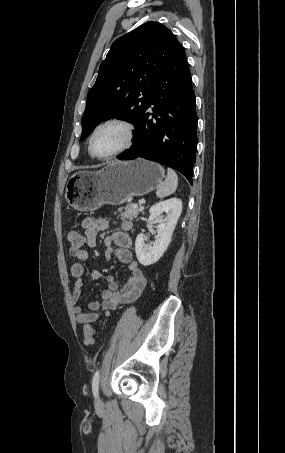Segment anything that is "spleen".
<instances>
[{
	"label": "spleen",
	"instance_id": "3e777b00",
	"mask_svg": "<svg viewBox=\"0 0 285 453\" xmlns=\"http://www.w3.org/2000/svg\"><path fill=\"white\" fill-rule=\"evenodd\" d=\"M178 185V176L176 172L170 168L167 170V177L164 182H162L157 191L156 196L158 198H164L166 196L171 195L175 192Z\"/></svg>",
	"mask_w": 285,
	"mask_h": 453
}]
</instances>
